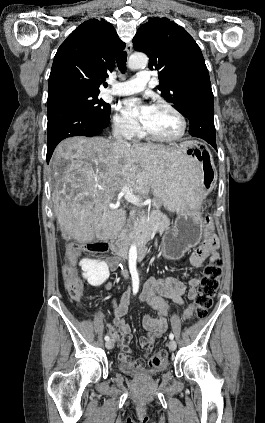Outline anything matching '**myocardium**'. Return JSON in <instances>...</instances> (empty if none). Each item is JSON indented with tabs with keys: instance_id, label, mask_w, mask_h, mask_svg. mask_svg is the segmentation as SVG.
<instances>
[{
	"instance_id": "1",
	"label": "myocardium",
	"mask_w": 265,
	"mask_h": 423,
	"mask_svg": "<svg viewBox=\"0 0 265 423\" xmlns=\"http://www.w3.org/2000/svg\"><path fill=\"white\" fill-rule=\"evenodd\" d=\"M152 107H163V108H166L169 111H171L173 114H175L176 117L180 121L181 129H180V131L177 135L167 137V136H161V135H158L156 133L151 132L150 130H148L144 126V124H142L141 130H142L143 135H145L146 137H148L152 140L160 141V142L171 143V142H176V141L181 140L185 136L186 131H187V120H186L185 116L183 115V113L178 108H176L174 105H172L171 103L166 102V101H157L152 105Z\"/></svg>"
}]
</instances>
